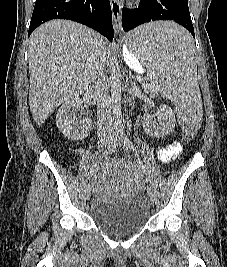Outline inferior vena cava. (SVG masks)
<instances>
[{"label": "inferior vena cava", "instance_id": "inferior-vena-cava-1", "mask_svg": "<svg viewBox=\"0 0 227 267\" xmlns=\"http://www.w3.org/2000/svg\"><path fill=\"white\" fill-rule=\"evenodd\" d=\"M105 51L96 45L90 74V89L94 93L98 106V135L100 137L113 132L111 99L105 77Z\"/></svg>", "mask_w": 227, "mask_h": 267}]
</instances>
